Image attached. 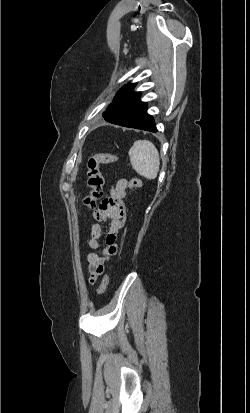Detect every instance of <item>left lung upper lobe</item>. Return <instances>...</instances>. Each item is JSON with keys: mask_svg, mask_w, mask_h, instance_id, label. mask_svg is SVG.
Returning a JSON list of instances; mask_svg holds the SVG:
<instances>
[{"mask_svg": "<svg viewBox=\"0 0 250 413\" xmlns=\"http://www.w3.org/2000/svg\"><path fill=\"white\" fill-rule=\"evenodd\" d=\"M135 85L136 84H127L120 89V91L115 96L113 103L110 105L107 111L103 114L104 118L110 116L111 114L119 110L122 100L132 93Z\"/></svg>", "mask_w": 250, "mask_h": 413, "instance_id": "1", "label": "left lung upper lobe"}]
</instances>
